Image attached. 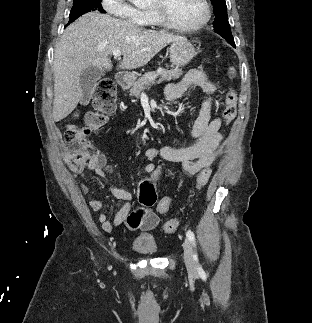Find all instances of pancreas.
<instances>
[{"instance_id":"1","label":"pancreas","mask_w":312,"mask_h":323,"mask_svg":"<svg viewBox=\"0 0 312 323\" xmlns=\"http://www.w3.org/2000/svg\"><path fill=\"white\" fill-rule=\"evenodd\" d=\"M182 74L183 72L180 68H174V70H161L160 74H156V72H145L142 78H139L137 82L132 84L130 96H136V98H138L141 92H144L145 88H150L151 84L155 82L156 76H161L158 80V84H161L164 80H167V82H170V80H177Z\"/></svg>"}]
</instances>
